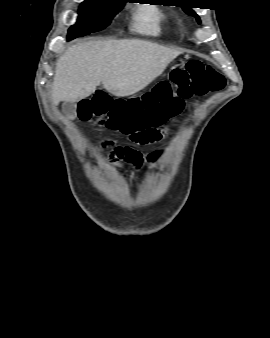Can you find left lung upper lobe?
<instances>
[{"label":"left lung upper lobe","mask_w":270,"mask_h":338,"mask_svg":"<svg viewBox=\"0 0 270 338\" xmlns=\"http://www.w3.org/2000/svg\"><path fill=\"white\" fill-rule=\"evenodd\" d=\"M183 8V10L188 14V15H190V16H194L196 19H197V21H198V23H201V20H200V18L198 17V15L192 10V7H182Z\"/></svg>","instance_id":"left-lung-upper-lobe-1"}]
</instances>
